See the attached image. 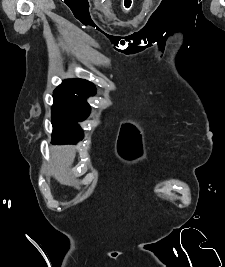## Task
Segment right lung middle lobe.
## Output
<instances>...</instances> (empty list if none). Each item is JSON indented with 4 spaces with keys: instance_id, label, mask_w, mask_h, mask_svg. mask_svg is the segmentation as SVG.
Wrapping results in <instances>:
<instances>
[{
    "instance_id": "1",
    "label": "right lung middle lobe",
    "mask_w": 225,
    "mask_h": 267,
    "mask_svg": "<svg viewBox=\"0 0 225 267\" xmlns=\"http://www.w3.org/2000/svg\"><path fill=\"white\" fill-rule=\"evenodd\" d=\"M52 106L53 143H76L83 138L78 121L86 119L90 106L83 95L58 87L53 93Z\"/></svg>"
}]
</instances>
